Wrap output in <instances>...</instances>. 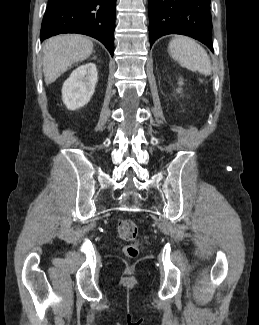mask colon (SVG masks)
I'll list each match as a JSON object with an SVG mask.
<instances>
[{
  "mask_svg": "<svg viewBox=\"0 0 259 325\" xmlns=\"http://www.w3.org/2000/svg\"><path fill=\"white\" fill-rule=\"evenodd\" d=\"M117 230L119 238L127 242L123 247V254L128 258H135L140 250L139 230L136 223L129 219H123L119 221Z\"/></svg>",
  "mask_w": 259,
  "mask_h": 325,
  "instance_id": "5ec220e1",
  "label": "colon"
}]
</instances>
